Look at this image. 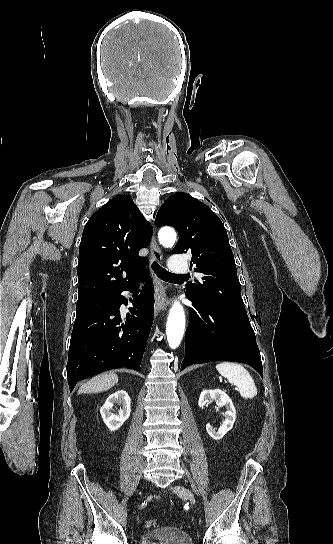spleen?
Returning <instances> with one entry per match:
<instances>
[{
    "instance_id": "spleen-1",
    "label": "spleen",
    "mask_w": 333,
    "mask_h": 544,
    "mask_svg": "<svg viewBox=\"0 0 333 544\" xmlns=\"http://www.w3.org/2000/svg\"><path fill=\"white\" fill-rule=\"evenodd\" d=\"M217 371L239 388L243 398L251 399L257 395V388L249 372L240 364L222 362L216 365Z\"/></svg>"
}]
</instances>
